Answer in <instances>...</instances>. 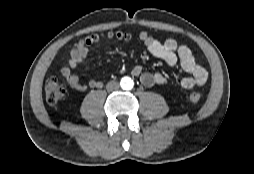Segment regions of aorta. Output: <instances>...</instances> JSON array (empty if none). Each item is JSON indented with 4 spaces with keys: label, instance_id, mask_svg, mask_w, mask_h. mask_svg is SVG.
<instances>
[{
    "label": "aorta",
    "instance_id": "obj_1",
    "mask_svg": "<svg viewBox=\"0 0 254 174\" xmlns=\"http://www.w3.org/2000/svg\"><path fill=\"white\" fill-rule=\"evenodd\" d=\"M133 81L130 79V78H123L122 81H121V87L124 89V90H130L133 88Z\"/></svg>",
    "mask_w": 254,
    "mask_h": 174
}]
</instances>
